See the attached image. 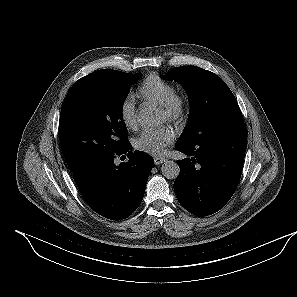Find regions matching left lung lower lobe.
Here are the masks:
<instances>
[{"label":"left lung lower lobe","mask_w":297,"mask_h":297,"mask_svg":"<svg viewBox=\"0 0 297 297\" xmlns=\"http://www.w3.org/2000/svg\"><path fill=\"white\" fill-rule=\"evenodd\" d=\"M246 147L244 124L214 133L196 145L176 143V150L191 156L176 161L180 173L174 191L179 203L196 216L219 211L237 188Z\"/></svg>","instance_id":"left-lung-lower-lobe-1"}]
</instances>
